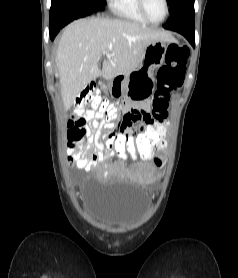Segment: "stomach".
I'll list each match as a JSON object with an SVG mask.
<instances>
[{
  "label": "stomach",
  "instance_id": "1",
  "mask_svg": "<svg viewBox=\"0 0 238 278\" xmlns=\"http://www.w3.org/2000/svg\"><path fill=\"white\" fill-rule=\"evenodd\" d=\"M164 41L152 42L146 48L140 66L130 74H117L108 83L113 99H148L155 89L154 70L160 67L166 55Z\"/></svg>",
  "mask_w": 238,
  "mask_h": 278
}]
</instances>
